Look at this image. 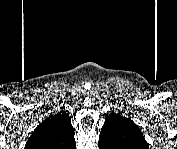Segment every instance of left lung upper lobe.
<instances>
[{"label":"left lung upper lobe","instance_id":"5c2ea615","mask_svg":"<svg viewBox=\"0 0 177 149\" xmlns=\"http://www.w3.org/2000/svg\"><path fill=\"white\" fill-rule=\"evenodd\" d=\"M98 145L102 149H147L148 144L139 127L119 114L106 117Z\"/></svg>","mask_w":177,"mask_h":149}]
</instances>
